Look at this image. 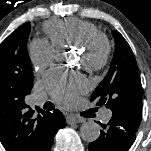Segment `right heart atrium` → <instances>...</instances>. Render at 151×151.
<instances>
[{
  "label": "right heart atrium",
  "instance_id": "1",
  "mask_svg": "<svg viewBox=\"0 0 151 151\" xmlns=\"http://www.w3.org/2000/svg\"><path fill=\"white\" fill-rule=\"evenodd\" d=\"M56 55L57 47L50 40L36 38L28 46V56L36 71L52 65Z\"/></svg>",
  "mask_w": 151,
  "mask_h": 151
}]
</instances>
